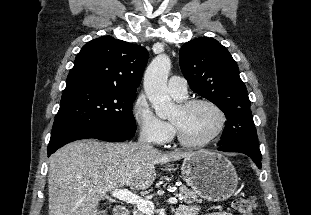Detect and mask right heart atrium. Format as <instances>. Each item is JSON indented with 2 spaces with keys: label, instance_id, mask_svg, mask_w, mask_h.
<instances>
[{
  "label": "right heart atrium",
  "instance_id": "right-heart-atrium-1",
  "mask_svg": "<svg viewBox=\"0 0 311 215\" xmlns=\"http://www.w3.org/2000/svg\"><path fill=\"white\" fill-rule=\"evenodd\" d=\"M131 112L140 133L149 141L164 144L172 138V126L154 113L143 94L136 97Z\"/></svg>",
  "mask_w": 311,
  "mask_h": 215
}]
</instances>
